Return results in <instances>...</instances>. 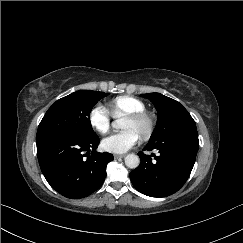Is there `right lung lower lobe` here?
I'll use <instances>...</instances> for the list:
<instances>
[{
	"label": "right lung lower lobe",
	"mask_w": 243,
	"mask_h": 243,
	"mask_svg": "<svg viewBox=\"0 0 243 243\" xmlns=\"http://www.w3.org/2000/svg\"><path fill=\"white\" fill-rule=\"evenodd\" d=\"M36 144L40 168L47 182L71 199L96 191L105 180L107 164L114 159L110 153L95 151L99 145L97 136L81 139L47 135L36 139Z\"/></svg>",
	"instance_id": "obj_1"
}]
</instances>
